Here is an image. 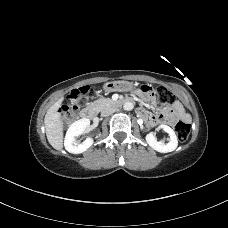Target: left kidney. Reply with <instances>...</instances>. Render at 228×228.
<instances>
[{"mask_svg":"<svg viewBox=\"0 0 228 228\" xmlns=\"http://www.w3.org/2000/svg\"><path fill=\"white\" fill-rule=\"evenodd\" d=\"M159 129H163L166 133H168L170 139L167 144L162 141H158L155 133L150 132L146 135V141L151 148L161 153H168L174 151L178 146V140L173 129L167 125H160Z\"/></svg>","mask_w":228,"mask_h":228,"instance_id":"obj_1","label":"left kidney"}]
</instances>
